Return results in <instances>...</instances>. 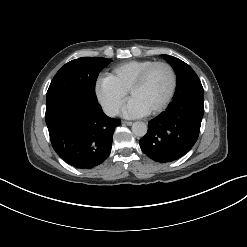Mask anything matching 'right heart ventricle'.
<instances>
[{
    "label": "right heart ventricle",
    "mask_w": 247,
    "mask_h": 247,
    "mask_svg": "<svg viewBox=\"0 0 247 247\" xmlns=\"http://www.w3.org/2000/svg\"><path fill=\"white\" fill-rule=\"evenodd\" d=\"M154 61L149 59L129 60L111 69L109 77L124 91H128L137 76Z\"/></svg>",
    "instance_id": "1"
}]
</instances>
